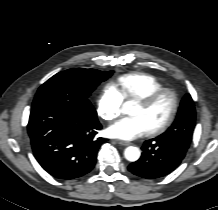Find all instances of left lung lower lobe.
<instances>
[{
	"instance_id": "1",
	"label": "left lung lower lobe",
	"mask_w": 218,
	"mask_h": 210,
	"mask_svg": "<svg viewBox=\"0 0 218 210\" xmlns=\"http://www.w3.org/2000/svg\"><path fill=\"white\" fill-rule=\"evenodd\" d=\"M189 144L182 140L168 141L156 137L144 142L142 155L128 166V170L140 177L155 179L176 169L184 159Z\"/></svg>"
}]
</instances>
